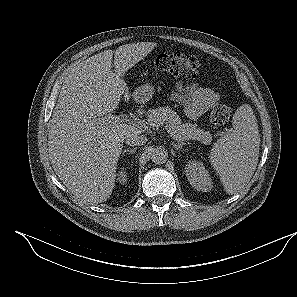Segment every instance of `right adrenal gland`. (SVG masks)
<instances>
[{
    "label": "right adrenal gland",
    "instance_id": "1",
    "mask_svg": "<svg viewBox=\"0 0 297 297\" xmlns=\"http://www.w3.org/2000/svg\"><path fill=\"white\" fill-rule=\"evenodd\" d=\"M136 149H137L136 147L133 148V149H131V148L125 149V150L122 152V154H123V156H124L125 154H127V153L134 154V153L136 152Z\"/></svg>",
    "mask_w": 297,
    "mask_h": 297
}]
</instances>
